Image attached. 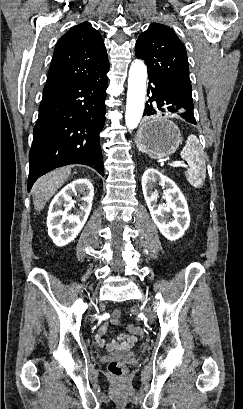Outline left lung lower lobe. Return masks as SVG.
Wrapping results in <instances>:
<instances>
[{"instance_id": "1", "label": "left lung lower lobe", "mask_w": 243, "mask_h": 409, "mask_svg": "<svg viewBox=\"0 0 243 409\" xmlns=\"http://www.w3.org/2000/svg\"><path fill=\"white\" fill-rule=\"evenodd\" d=\"M148 95L143 116L156 113H174L196 125L192 93L181 90L160 79L149 77ZM164 115V114H162Z\"/></svg>"}]
</instances>
